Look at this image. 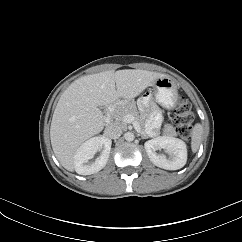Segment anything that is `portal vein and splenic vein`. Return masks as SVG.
I'll use <instances>...</instances> for the list:
<instances>
[{"mask_svg":"<svg viewBox=\"0 0 242 242\" xmlns=\"http://www.w3.org/2000/svg\"><path fill=\"white\" fill-rule=\"evenodd\" d=\"M123 122L126 123V124H127V123H132L133 126H134V128H135V130H136L137 132H140V125H139V123L135 120V118H134L133 115H131V114H127V115H125L124 118H123Z\"/></svg>","mask_w":242,"mask_h":242,"instance_id":"1","label":"portal vein and splenic vein"}]
</instances>
